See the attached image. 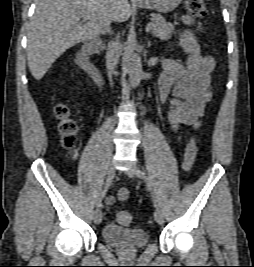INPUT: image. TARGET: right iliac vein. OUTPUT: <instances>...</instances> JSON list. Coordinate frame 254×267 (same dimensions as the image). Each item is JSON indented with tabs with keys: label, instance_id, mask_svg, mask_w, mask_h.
<instances>
[{
	"label": "right iliac vein",
	"instance_id": "obj_1",
	"mask_svg": "<svg viewBox=\"0 0 254 267\" xmlns=\"http://www.w3.org/2000/svg\"><path fill=\"white\" fill-rule=\"evenodd\" d=\"M114 174V169L113 167H109L107 169V175H113ZM93 219L96 224H100L102 221V212L100 208H96L94 213H93Z\"/></svg>",
	"mask_w": 254,
	"mask_h": 267
}]
</instances>
